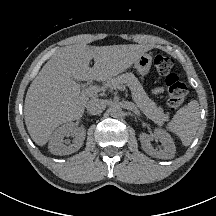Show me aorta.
<instances>
[{
	"label": "aorta",
	"instance_id": "762f6f07",
	"mask_svg": "<svg viewBox=\"0 0 216 216\" xmlns=\"http://www.w3.org/2000/svg\"><path fill=\"white\" fill-rule=\"evenodd\" d=\"M110 114L112 117L118 118V117L122 116L123 111L119 106H113L110 108Z\"/></svg>",
	"mask_w": 216,
	"mask_h": 216
}]
</instances>
